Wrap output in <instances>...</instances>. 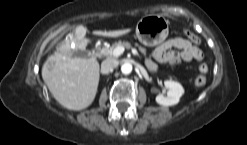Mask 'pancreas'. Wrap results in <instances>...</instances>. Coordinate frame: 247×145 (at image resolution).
Here are the masks:
<instances>
[{"instance_id": "cf45deb5", "label": "pancreas", "mask_w": 247, "mask_h": 145, "mask_svg": "<svg viewBox=\"0 0 247 145\" xmlns=\"http://www.w3.org/2000/svg\"><path fill=\"white\" fill-rule=\"evenodd\" d=\"M135 45L138 47V49H139V51H140L141 53H143L144 55L146 54V49H145V48L139 46L138 44H135ZM116 47H124V48H126V49H129V48H131V44H130L129 42H121V41H119V42H116L115 44H113L111 47H108V48L105 47V48H103V49L101 50V53H102L103 55H105V56L112 57V52H113V50H114Z\"/></svg>"}]
</instances>
